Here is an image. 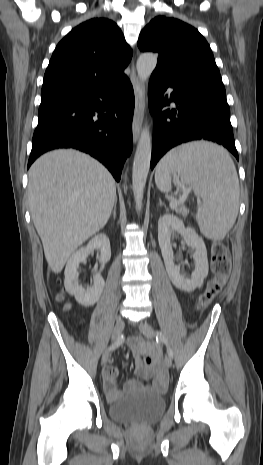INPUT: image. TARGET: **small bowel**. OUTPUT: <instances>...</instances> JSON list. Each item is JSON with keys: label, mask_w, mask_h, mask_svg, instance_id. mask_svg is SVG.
<instances>
[{"label": "small bowel", "mask_w": 263, "mask_h": 465, "mask_svg": "<svg viewBox=\"0 0 263 465\" xmlns=\"http://www.w3.org/2000/svg\"><path fill=\"white\" fill-rule=\"evenodd\" d=\"M192 327H198V322H192ZM191 327V328H192ZM129 347L135 361L136 374L147 381L148 383L143 386L140 382L131 380L125 388H141L161 392L167 386L168 376L165 370L159 363L158 355L142 338L132 337L128 341ZM118 369L112 364H108L103 370L104 388L108 396L112 399L117 398L120 390L117 386Z\"/></svg>", "instance_id": "1"}]
</instances>
